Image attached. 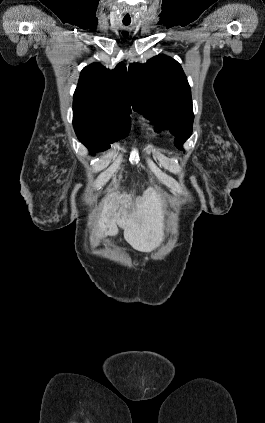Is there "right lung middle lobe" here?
<instances>
[{
  "instance_id": "dd1d6c3e",
  "label": "right lung middle lobe",
  "mask_w": 265,
  "mask_h": 423,
  "mask_svg": "<svg viewBox=\"0 0 265 423\" xmlns=\"http://www.w3.org/2000/svg\"><path fill=\"white\" fill-rule=\"evenodd\" d=\"M73 126L82 144L90 152H100L110 148L111 143L128 136L129 117L118 122L106 121L100 117L73 111Z\"/></svg>"
}]
</instances>
